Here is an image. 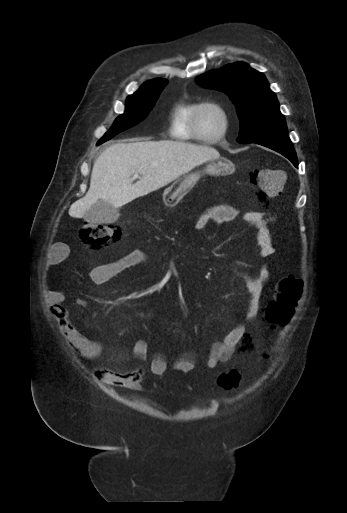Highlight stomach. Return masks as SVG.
<instances>
[{
    "label": "stomach",
    "instance_id": "stomach-1",
    "mask_svg": "<svg viewBox=\"0 0 347 513\" xmlns=\"http://www.w3.org/2000/svg\"><path fill=\"white\" fill-rule=\"evenodd\" d=\"M233 169V162L226 158L211 160L206 165L203 173L196 171L179 176L171 186L164 190L163 202L166 206H175L178 201L195 186L202 174L225 176L230 174Z\"/></svg>",
    "mask_w": 347,
    "mask_h": 513
}]
</instances>
